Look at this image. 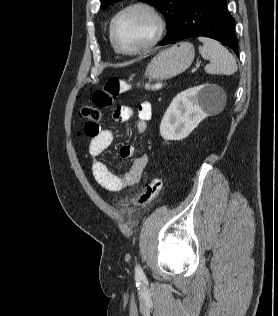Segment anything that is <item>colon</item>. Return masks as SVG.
<instances>
[{
	"mask_svg": "<svg viewBox=\"0 0 278 316\" xmlns=\"http://www.w3.org/2000/svg\"><path fill=\"white\" fill-rule=\"evenodd\" d=\"M146 89H155L156 85L144 84ZM131 85L118 77H110L103 87L93 94L95 106L85 105L79 110V118L84 121V133L93 136L99 131V122L102 118L101 110L109 108L115 104L116 98L127 92ZM162 180L158 176H153L145 185L144 190L132 200L135 207H145L152 204L160 195Z\"/></svg>",
	"mask_w": 278,
	"mask_h": 316,
	"instance_id": "colon-1",
	"label": "colon"
}]
</instances>
